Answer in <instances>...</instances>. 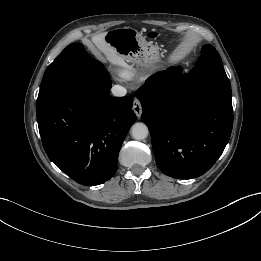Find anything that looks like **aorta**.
Here are the masks:
<instances>
[{"label":"aorta","mask_w":261,"mask_h":261,"mask_svg":"<svg viewBox=\"0 0 261 261\" xmlns=\"http://www.w3.org/2000/svg\"><path fill=\"white\" fill-rule=\"evenodd\" d=\"M148 134V127L144 123H135L131 128V136L135 140H144L147 138Z\"/></svg>","instance_id":"762f6f07"}]
</instances>
